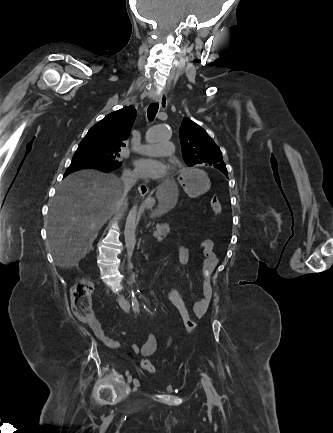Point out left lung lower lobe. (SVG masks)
Here are the masks:
<instances>
[{"label": "left lung lower lobe", "mask_w": 333, "mask_h": 433, "mask_svg": "<svg viewBox=\"0 0 333 433\" xmlns=\"http://www.w3.org/2000/svg\"><path fill=\"white\" fill-rule=\"evenodd\" d=\"M214 167L217 168V169H219V170H220V168H221L220 166H214Z\"/></svg>", "instance_id": "1"}]
</instances>
